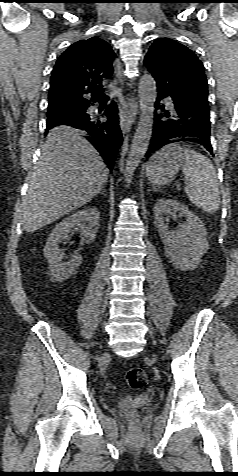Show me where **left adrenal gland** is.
Returning a JSON list of instances; mask_svg holds the SVG:
<instances>
[{
    "label": "left adrenal gland",
    "instance_id": "1",
    "mask_svg": "<svg viewBox=\"0 0 238 476\" xmlns=\"http://www.w3.org/2000/svg\"><path fill=\"white\" fill-rule=\"evenodd\" d=\"M152 190H153V191H157V189H156V188H152Z\"/></svg>",
    "mask_w": 238,
    "mask_h": 476
}]
</instances>
